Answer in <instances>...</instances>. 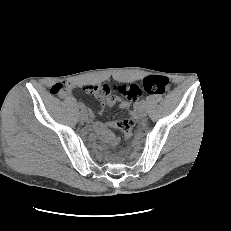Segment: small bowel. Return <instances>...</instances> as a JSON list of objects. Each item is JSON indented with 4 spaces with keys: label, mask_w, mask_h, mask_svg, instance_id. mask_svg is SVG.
<instances>
[{
    "label": "small bowel",
    "mask_w": 231,
    "mask_h": 231,
    "mask_svg": "<svg viewBox=\"0 0 231 231\" xmlns=\"http://www.w3.org/2000/svg\"><path fill=\"white\" fill-rule=\"evenodd\" d=\"M107 84L103 85H87L84 87V90L88 93L100 96V97H106L103 95L102 87ZM72 86H69L67 89V93L71 91ZM115 103H118L119 108L121 109H129L130 108V102L127 100L117 99V98H107L106 101L102 104V110L105 106H112ZM132 116L136 117V112L131 111ZM117 127L116 122H108V123H94V128L99 135V137L106 143L110 145H116L118 143V137L114 135L112 132V129Z\"/></svg>",
    "instance_id": "obj_1"
}]
</instances>
